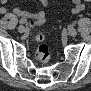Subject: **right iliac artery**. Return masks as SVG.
<instances>
[{
  "label": "right iliac artery",
  "mask_w": 91,
  "mask_h": 91,
  "mask_svg": "<svg viewBox=\"0 0 91 91\" xmlns=\"http://www.w3.org/2000/svg\"><path fill=\"white\" fill-rule=\"evenodd\" d=\"M27 20L25 18L20 19L19 23L24 24Z\"/></svg>",
  "instance_id": "right-iliac-artery-1"
}]
</instances>
